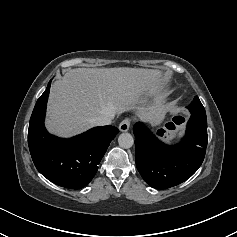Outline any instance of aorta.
<instances>
[{
    "instance_id": "obj_1",
    "label": "aorta",
    "mask_w": 237,
    "mask_h": 237,
    "mask_svg": "<svg viewBox=\"0 0 237 237\" xmlns=\"http://www.w3.org/2000/svg\"><path fill=\"white\" fill-rule=\"evenodd\" d=\"M120 147L128 149L133 146L134 139L130 133H122L118 137Z\"/></svg>"
}]
</instances>
